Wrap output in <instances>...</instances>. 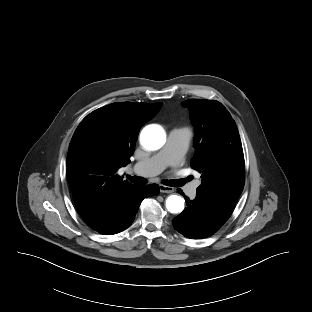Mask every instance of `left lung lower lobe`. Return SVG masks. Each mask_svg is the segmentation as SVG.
<instances>
[{
	"label": "left lung lower lobe",
	"mask_w": 312,
	"mask_h": 312,
	"mask_svg": "<svg viewBox=\"0 0 312 312\" xmlns=\"http://www.w3.org/2000/svg\"><path fill=\"white\" fill-rule=\"evenodd\" d=\"M185 210L175 217V230L191 239H201L213 235L228 220L232 212L222 206L196 195L194 200L185 197Z\"/></svg>",
	"instance_id": "1"
}]
</instances>
